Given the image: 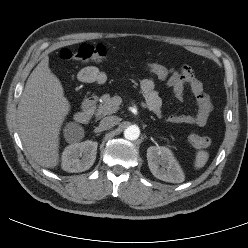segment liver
<instances>
[{"instance_id":"liver-1","label":"liver","mask_w":248,"mask_h":248,"mask_svg":"<svg viewBox=\"0 0 248 248\" xmlns=\"http://www.w3.org/2000/svg\"><path fill=\"white\" fill-rule=\"evenodd\" d=\"M69 110L61 82L45 56L28 77L17 108L21 140L42 167L59 163V133Z\"/></svg>"}]
</instances>
